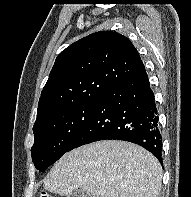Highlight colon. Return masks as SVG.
I'll use <instances>...</instances> for the list:
<instances>
[{
  "label": "colon",
  "instance_id": "5ec220e1",
  "mask_svg": "<svg viewBox=\"0 0 191 197\" xmlns=\"http://www.w3.org/2000/svg\"><path fill=\"white\" fill-rule=\"evenodd\" d=\"M38 197H53L52 195H50L49 193H47V192H41L40 194H39V196Z\"/></svg>",
  "mask_w": 191,
  "mask_h": 197
}]
</instances>
